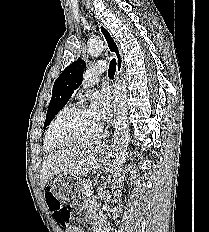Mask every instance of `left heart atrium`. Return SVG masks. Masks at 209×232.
Instances as JSON below:
<instances>
[{
  "label": "left heart atrium",
  "instance_id": "left-heart-atrium-1",
  "mask_svg": "<svg viewBox=\"0 0 209 232\" xmlns=\"http://www.w3.org/2000/svg\"><path fill=\"white\" fill-rule=\"evenodd\" d=\"M111 108V96L109 92L97 93L92 98L91 111L99 122L108 118Z\"/></svg>",
  "mask_w": 209,
  "mask_h": 232
}]
</instances>
